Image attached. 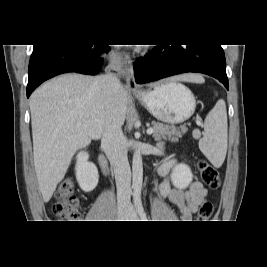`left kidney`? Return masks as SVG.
<instances>
[{"label": "left kidney", "instance_id": "left-kidney-1", "mask_svg": "<svg viewBox=\"0 0 267 267\" xmlns=\"http://www.w3.org/2000/svg\"><path fill=\"white\" fill-rule=\"evenodd\" d=\"M192 173L186 164H178L172 170L171 181L172 184L178 189H185L192 181Z\"/></svg>", "mask_w": 267, "mask_h": 267}]
</instances>
